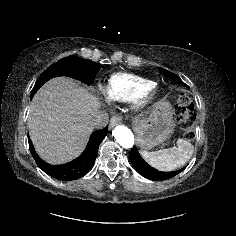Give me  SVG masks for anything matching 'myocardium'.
Segmentation results:
<instances>
[{
    "label": "myocardium",
    "mask_w": 236,
    "mask_h": 236,
    "mask_svg": "<svg viewBox=\"0 0 236 236\" xmlns=\"http://www.w3.org/2000/svg\"><path fill=\"white\" fill-rule=\"evenodd\" d=\"M146 103H147V101H145V102H141V103L138 104L137 107H139V108H140V107H143Z\"/></svg>",
    "instance_id": "f54148a6"
}]
</instances>
